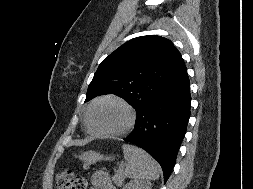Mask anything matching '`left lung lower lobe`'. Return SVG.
Masks as SVG:
<instances>
[{
  "instance_id": "0a47b994",
  "label": "left lung lower lobe",
  "mask_w": 253,
  "mask_h": 189,
  "mask_svg": "<svg viewBox=\"0 0 253 189\" xmlns=\"http://www.w3.org/2000/svg\"><path fill=\"white\" fill-rule=\"evenodd\" d=\"M190 82L186 66L138 112L134 130L124 140L146 150L162 166L164 182L175 165L190 118Z\"/></svg>"
}]
</instances>
